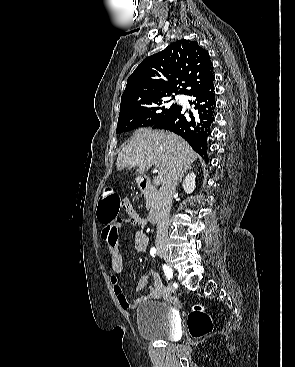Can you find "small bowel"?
<instances>
[{
	"instance_id": "small-bowel-1",
	"label": "small bowel",
	"mask_w": 295,
	"mask_h": 367,
	"mask_svg": "<svg viewBox=\"0 0 295 367\" xmlns=\"http://www.w3.org/2000/svg\"><path fill=\"white\" fill-rule=\"evenodd\" d=\"M123 209L128 214V221L134 225H138L144 228L147 224L146 220L139 216V214L134 209L133 205L129 201V199L123 200ZM125 222L122 218H117L116 220L104 223V227L101 232V238L107 245L109 255H110V266L113 271V274L110 276V283L112 285L114 294L117 298L119 305L124 310H131L138 307L144 301L149 299H159L167 295V290L163 284V281L160 275L151 270L143 275H141L138 279V282L135 287V292L139 293L142 291L150 278L153 279V285L150 286L141 298L130 302L124 292L122 287L119 284L118 275L123 271V258L119 250L118 243V232L120 227ZM148 236L144 230H137L134 233V248L137 252H144L148 245Z\"/></svg>"
}]
</instances>
